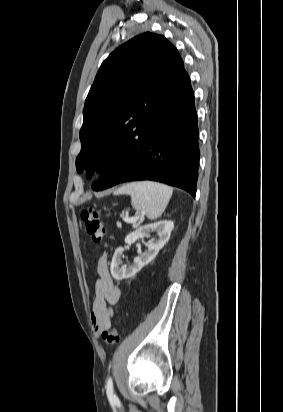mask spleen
<instances>
[{"label": "spleen", "instance_id": "3e777b00", "mask_svg": "<svg viewBox=\"0 0 283 412\" xmlns=\"http://www.w3.org/2000/svg\"><path fill=\"white\" fill-rule=\"evenodd\" d=\"M172 193V188L167 185L138 181L121 186L114 195H130L132 207L136 211H145L148 219L155 220L165 211Z\"/></svg>", "mask_w": 283, "mask_h": 412}]
</instances>
